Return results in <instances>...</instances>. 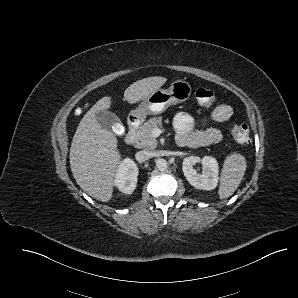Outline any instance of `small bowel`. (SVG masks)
I'll list each match as a JSON object with an SVG mask.
<instances>
[{
  "instance_id": "small-bowel-1",
  "label": "small bowel",
  "mask_w": 298,
  "mask_h": 298,
  "mask_svg": "<svg viewBox=\"0 0 298 298\" xmlns=\"http://www.w3.org/2000/svg\"><path fill=\"white\" fill-rule=\"evenodd\" d=\"M233 109L230 105L220 104L216 106L211 114L210 120L216 123H222L231 118ZM174 127L178 133L191 134L199 137L202 145L219 143L222 140V133L216 128H206L202 131H194L193 118L184 112L178 113L174 118Z\"/></svg>"
}]
</instances>
